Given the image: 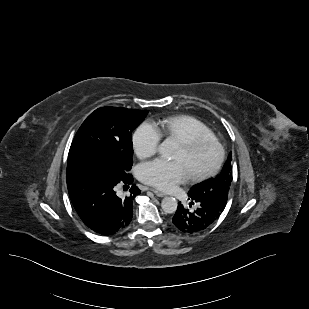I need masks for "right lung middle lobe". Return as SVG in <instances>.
Here are the masks:
<instances>
[{
	"mask_svg": "<svg viewBox=\"0 0 309 309\" xmlns=\"http://www.w3.org/2000/svg\"><path fill=\"white\" fill-rule=\"evenodd\" d=\"M147 110L102 107L90 114L71 144L68 165H85L121 179L131 169L132 134Z\"/></svg>",
	"mask_w": 309,
	"mask_h": 309,
	"instance_id": "obj_1",
	"label": "right lung middle lobe"
}]
</instances>
